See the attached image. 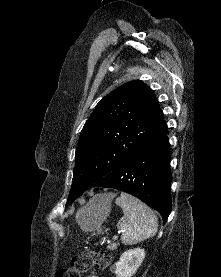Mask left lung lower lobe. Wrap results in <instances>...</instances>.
I'll use <instances>...</instances> for the list:
<instances>
[{"label":"left lung lower lobe","instance_id":"0a47b994","mask_svg":"<svg viewBox=\"0 0 221 277\" xmlns=\"http://www.w3.org/2000/svg\"><path fill=\"white\" fill-rule=\"evenodd\" d=\"M170 158L165 123L153 137L91 187H109L127 192L157 210L165 223L172 204Z\"/></svg>","mask_w":221,"mask_h":277}]
</instances>
